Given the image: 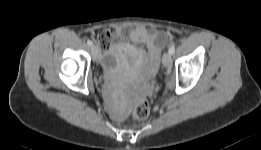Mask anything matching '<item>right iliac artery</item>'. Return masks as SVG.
Returning a JSON list of instances; mask_svg holds the SVG:
<instances>
[{
    "instance_id": "right-iliac-artery-1",
    "label": "right iliac artery",
    "mask_w": 261,
    "mask_h": 150,
    "mask_svg": "<svg viewBox=\"0 0 261 150\" xmlns=\"http://www.w3.org/2000/svg\"><path fill=\"white\" fill-rule=\"evenodd\" d=\"M87 44H88V46H92L93 43H92L91 40H88V41H87Z\"/></svg>"
}]
</instances>
